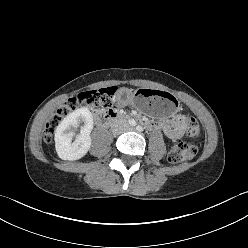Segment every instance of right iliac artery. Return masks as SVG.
I'll return each mask as SVG.
<instances>
[{
    "label": "right iliac artery",
    "instance_id": "right-iliac-artery-1",
    "mask_svg": "<svg viewBox=\"0 0 248 248\" xmlns=\"http://www.w3.org/2000/svg\"><path fill=\"white\" fill-rule=\"evenodd\" d=\"M129 124L132 125V126H135L136 125V121L133 120V119H130L129 120Z\"/></svg>",
    "mask_w": 248,
    "mask_h": 248
}]
</instances>
